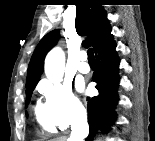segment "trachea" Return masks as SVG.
Masks as SVG:
<instances>
[{
	"mask_svg": "<svg viewBox=\"0 0 155 141\" xmlns=\"http://www.w3.org/2000/svg\"><path fill=\"white\" fill-rule=\"evenodd\" d=\"M87 54H88V62L89 63H95V56H94V53H93V49L90 48L88 51H87Z\"/></svg>",
	"mask_w": 155,
	"mask_h": 141,
	"instance_id": "trachea-1",
	"label": "trachea"
}]
</instances>
